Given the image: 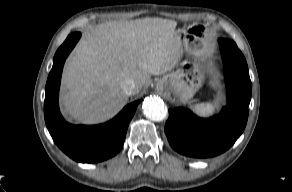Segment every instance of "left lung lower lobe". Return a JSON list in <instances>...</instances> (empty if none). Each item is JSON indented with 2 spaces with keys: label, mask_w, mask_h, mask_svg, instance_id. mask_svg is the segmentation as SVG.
Instances as JSON below:
<instances>
[{
  "label": "left lung lower lobe",
  "mask_w": 292,
  "mask_h": 192,
  "mask_svg": "<svg viewBox=\"0 0 292 192\" xmlns=\"http://www.w3.org/2000/svg\"><path fill=\"white\" fill-rule=\"evenodd\" d=\"M224 63L228 105L209 119H201L190 110H169L165 134L171 147L189 157L207 158L229 149L242 134L247 118L251 81L244 56L237 45L219 40Z\"/></svg>",
  "instance_id": "left-lung-lower-lobe-1"
}]
</instances>
